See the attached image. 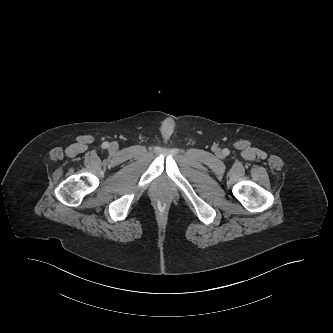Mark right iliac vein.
Segmentation results:
<instances>
[{
    "mask_svg": "<svg viewBox=\"0 0 333 333\" xmlns=\"http://www.w3.org/2000/svg\"><path fill=\"white\" fill-rule=\"evenodd\" d=\"M110 149L113 150V151H115V150L118 149V145L116 143H111L110 144Z\"/></svg>",
    "mask_w": 333,
    "mask_h": 333,
    "instance_id": "1",
    "label": "right iliac vein"
}]
</instances>
